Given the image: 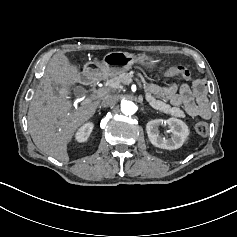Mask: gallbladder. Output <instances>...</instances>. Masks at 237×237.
<instances>
[{"label": "gallbladder", "mask_w": 237, "mask_h": 237, "mask_svg": "<svg viewBox=\"0 0 237 237\" xmlns=\"http://www.w3.org/2000/svg\"><path fill=\"white\" fill-rule=\"evenodd\" d=\"M58 97L60 99H67L69 97V90L67 88H60L58 90Z\"/></svg>", "instance_id": "obj_1"}]
</instances>
